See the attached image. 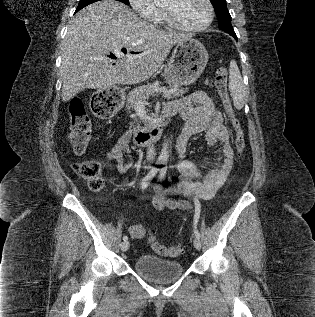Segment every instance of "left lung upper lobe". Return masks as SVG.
<instances>
[{"label":"left lung upper lobe","instance_id":"left-lung-upper-lobe-1","mask_svg":"<svg viewBox=\"0 0 315 317\" xmlns=\"http://www.w3.org/2000/svg\"><path fill=\"white\" fill-rule=\"evenodd\" d=\"M217 14L218 26L230 35L235 34L231 25V16L227 9L226 0H210Z\"/></svg>","mask_w":315,"mask_h":317}]
</instances>
